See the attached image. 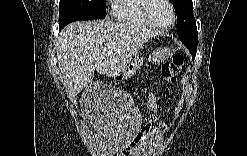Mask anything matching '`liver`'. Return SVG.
Here are the masks:
<instances>
[{"label": "liver", "mask_w": 247, "mask_h": 156, "mask_svg": "<svg viewBox=\"0 0 247 156\" xmlns=\"http://www.w3.org/2000/svg\"><path fill=\"white\" fill-rule=\"evenodd\" d=\"M160 32L109 20L74 22L56 42L64 84L78 93L93 80L95 70L108 77L123 72L142 46Z\"/></svg>", "instance_id": "obj_1"}]
</instances>
